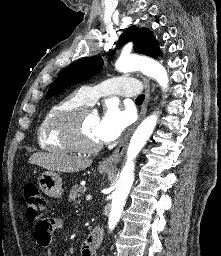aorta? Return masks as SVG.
<instances>
[{
    "label": "aorta",
    "instance_id": "1",
    "mask_svg": "<svg viewBox=\"0 0 221 256\" xmlns=\"http://www.w3.org/2000/svg\"><path fill=\"white\" fill-rule=\"evenodd\" d=\"M115 68L124 73L141 70L145 75L155 79L163 91H166L168 88L169 79L167 72L160 63L154 60H141L133 56L120 57L116 61ZM157 119L158 115L156 113L145 118L131 137L126 154V163L121 170L116 190L112 195L111 211L108 220L110 230H113L120 220L123 207L134 182V160L153 133Z\"/></svg>",
    "mask_w": 221,
    "mask_h": 256
}]
</instances>
